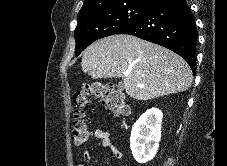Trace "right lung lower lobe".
<instances>
[{
  "instance_id": "right-lung-lower-lobe-1",
  "label": "right lung lower lobe",
  "mask_w": 227,
  "mask_h": 166,
  "mask_svg": "<svg viewBox=\"0 0 227 166\" xmlns=\"http://www.w3.org/2000/svg\"><path fill=\"white\" fill-rule=\"evenodd\" d=\"M166 47L195 71L197 29L186 0H159L139 20L120 31Z\"/></svg>"
}]
</instances>
